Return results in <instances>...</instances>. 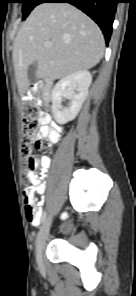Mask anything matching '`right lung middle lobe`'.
Masks as SVG:
<instances>
[{
	"label": "right lung middle lobe",
	"instance_id": "right-lung-middle-lobe-1",
	"mask_svg": "<svg viewBox=\"0 0 136 296\" xmlns=\"http://www.w3.org/2000/svg\"><path fill=\"white\" fill-rule=\"evenodd\" d=\"M42 0H20L19 2L23 3V20L29 15V13L41 3Z\"/></svg>",
	"mask_w": 136,
	"mask_h": 296
}]
</instances>
